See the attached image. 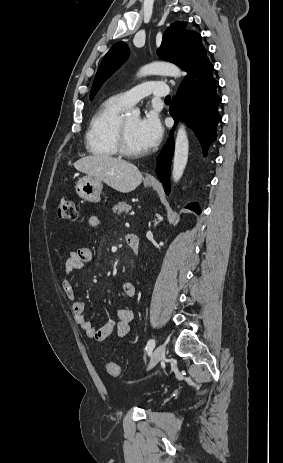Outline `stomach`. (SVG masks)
Instances as JSON below:
<instances>
[{
	"instance_id": "1",
	"label": "stomach",
	"mask_w": 283,
	"mask_h": 463,
	"mask_svg": "<svg viewBox=\"0 0 283 463\" xmlns=\"http://www.w3.org/2000/svg\"><path fill=\"white\" fill-rule=\"evenodd\" d=\"M145 185L151 187L153 183L146 182ZM102 188L103 185L99 179L89 176L79 179L75 186L77 195L88 202H99Z\"/></svg>"
}]
</instances>
